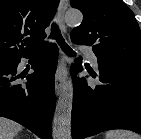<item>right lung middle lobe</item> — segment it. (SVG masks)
<instances>
[{
	"mask_svg": "<svg viewBox=\"0 0 141 139\" xmlns=\"http://www.w3.org/2000/svg\"><path fill=\"white\" fill-rule=\"evenodd\" d=\"M13 61L12 59L0 58V65L7 64Z\"/></svg>",
	"mask_w": 141,
	"mask_h": 139,
	"instance_id": "1",
	"label": "right lung middle lobe"
}]
</instances>
